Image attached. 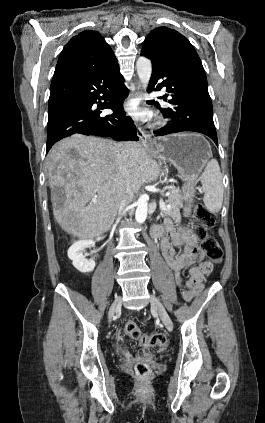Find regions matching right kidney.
<instances>
[{
    "instance_id": "ca27d5eb",
    "label": "right kidney",
    "mask_w": 265,
    "mask_h": 423,
    "mask_svg": "<svg viewBox=\"0 0 265 423\" xmlns=\"http://www.w3.org/2000/svg\"><path fill=\"white\" fill-rule=\"evenodd\" d=\"M95 241L93 240H79L72 244L68 250V257L72 260L73 266L82 273L92 272L95 268V261L86 259L83 254L85 248L94 247Z\"/></svg>"
}]
</instances>
